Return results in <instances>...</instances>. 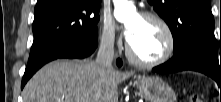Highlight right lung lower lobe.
Returning <instances> with one entry per match:
<instances>
[{
	"mask_svg": "<svg viewBox=\"0 0 221 102\" xmlns=\"http://www.w3.org/2000/svg\"><path fill=\"white\" fill-rule=\"evenodd\" d=\"M97 45V38L94 41L63 39L48 45L39 53L29 57L28 65L22 78L21 88L44 64L58 58L84 59L95 51ZM117 64L121 65L122 63L118 60Z\"/></svg>",
	"mask_w": 221,
	"mask_h": 102,
	"instance_id": "right-lung-lower-lobe-1",
	"label": "right lung lower lobe"
}]
</instances>
